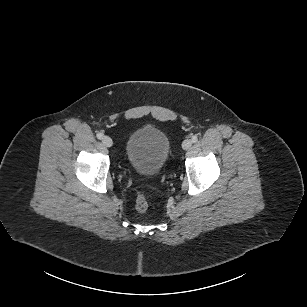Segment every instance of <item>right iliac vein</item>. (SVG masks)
<instances>
[{
    "label": "right iliac vein",
    "mask_w": 307,
    "mask_h": 307,
    "mask_svg": "<svg viewBox=\"0 0 307 307\" xmlns=\"http://www.w3.org/2000/svg\"><path fill=\"white\" fill-rule=\"evenodd\" d=\"M102 143L106 147H111L113 145L112 139L109 136H104L102 138Z\"/></svg>",
    "instance_id": "obj_1"
}]
</instances>
